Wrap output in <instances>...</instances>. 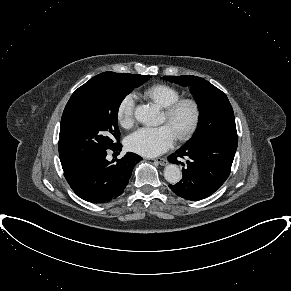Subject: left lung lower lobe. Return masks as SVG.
Masks as SVG:
<instances>
[{
    "label": "left lung lower lobe",
    "instance_id": "0a47b994",
    "mask_svg": "<svg viewBox=\"0 0 291 291\" xmlns=\"http://www.w3.org/2000/svg\"><path fill=\"white\" fill-rule=\"evenodd\" d=\"M238 138L234 135H218L195 145L185 144L168 156L171 163L180 164L179 158H188L183 177L175 185H169L178 196L187 200H200L213 194L228 178Z\"/></svg>",
    "mask_w": 291,
    "mask_h": 291
}]
</instances>
